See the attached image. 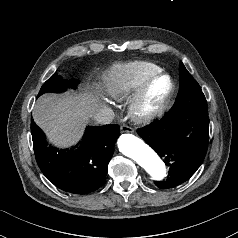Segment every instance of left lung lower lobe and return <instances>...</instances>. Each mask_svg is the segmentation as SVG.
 Segmentation results:
<instances>
[{"mask_svg":"<svg viewBox=\"0 0 238 238\" xmlns=\"http://www.w3.org/2000/svg\"><path fill=\"white\" fill-rule=\"evenodd\" d=\"M138 134L169 167L167 178L155 184L162 189L176 187L187 181L205 158L209 140L208 107L175 104L163 117L139 129Z\"/></svg>","mask_w":238,"mask_h":238,"instance_id":"1","label":"left lung lower lobe"}]
</instances>
